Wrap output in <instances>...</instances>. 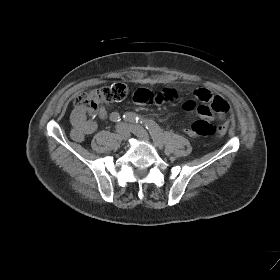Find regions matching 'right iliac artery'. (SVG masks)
<instances>
[{"mask_svg": "<svg viewBox=\"0 0 280 280\" xmlns=\"http://www.w3.org/2000/svg\"><path fill=\"white\" fill-rule=\"evenodd\" d=\"M110 119L114 122L120 121V115L117 112H113L110 114Z\"/></svg>", "mask_w": 280, "mask_h": 280, "instance_id": "1", "label": "right iliac artery"}]
</instances>
